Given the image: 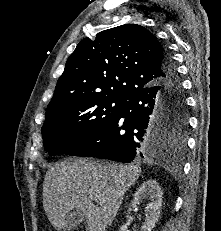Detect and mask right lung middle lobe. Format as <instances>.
<instances>
[{
	"label": "right lung middle lobe",
	"mask_w": 221,
	"mask_h": 231,
	"mask_svg": "<svg viewBox=\"0 0 221 231\" xmlns=\"http://www.w3.org/2000/svg\"><path fill=\"white\" fill-rule=\"evenodd\" d=\"M125 99L92 96L73 100L45 119L42 137L51 155L66 153L102 129L121 109ZM158 126L173 143L184 146L188 125L186 104L167 102L157 116Z\"/></svg>",
	"instance_id": "obj_1"
}]
</instances>
